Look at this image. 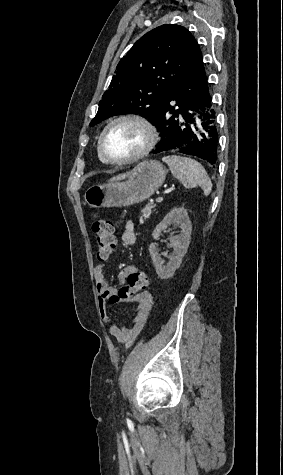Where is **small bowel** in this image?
Instances as JSON below:
<instances>
[{
	"mask_svg": "<svg viewBox=\"0 0 283 475\" xmlns=\"http://www.w3.org/2000/svg\"><path fill=\"white\" fill-rule=\"evenodd\" d=\"M122 243L126 246H132L137 241V235L135 231L134 224L131 221H127L122 234H121ZM135 266H126L120 273V279H126V275L130 274V268ZM103 265L98 264L94 268V278H95V291L97 295V304L100 315L102 319L109 325L110 334L126 348H129L137 338V336L143 330L147 319L150 315V312L153 308V297L152 294L147 291H141L140 296H133V300L138 302V307L135 311V314L132 318L131 324L126 325L123 323H117L114 321L107 310V302L109 300V295H114L115 304H119L118 300V291L116 287L110 286L104 277Z\"/></svg>",
	"mask_w": 283,
	"mask_h": 475,
	"instance_id": "obj_1",
	"label": "small bowel"
}]
</instances>
